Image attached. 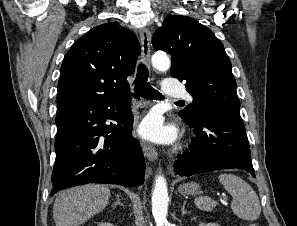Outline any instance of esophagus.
<instances>
[{"label": "esophagus", "mask_w": 297, "mask_h": 226, "mask_svg": "<svg viewBox=\"0 0 297 226\" xmlns=\"http://www.w3.org/2000/svg\"><path fill=\"white\" fill-rule=\"evenodd\" d=\"M140 41H141V59L146 65H150V43H151V32L147 27L140 29ZM140 145L143 149L145 157L149 161L157 160V152L155 148L148 142L140 140Z\"/></svg>", "instance_id": "obj_1"}]
</instances>
